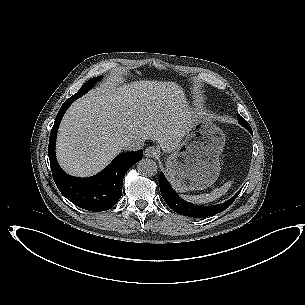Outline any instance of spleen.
<instances>
[{
    "mask_svg": "<svg viewBox=\"0 0 305 305\" xmlns=\"http://www.w3.org/2000/svg\"><path fill=\"white\" fill-rule=\"evenodd\" d=\"M230 183H225L222 187L216 188L208 194H200V195H181V197L190 203L193 204H207L210 203L218 198H220L224 193L227 192Z\"/></svg>",
    "mask_w": 305,
    "mask_h": 305,
    "instance_id": "obj_1",
    "label": "spleen"
}]
</instances>
